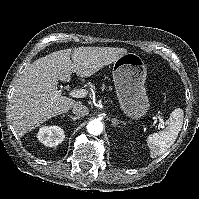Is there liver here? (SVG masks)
Here are the masks:
<instances>
[{
  "label": "liver",
  "instance_id": "1",
  "mask_svg": "<svg viewBox=\"0 0 199 199\" xmlns=\"http://www.w3.org/2000/svg\"><path fill=\"white\" fill-rule=\"evenodd\" d=\"M59 50L30 64L14 86L10 117L22 137L47 120L66 113L76 104L62 96L59 81L69 82L73 73L88 78L127 53L124 48L79 47ZM72 57V60L70 59Z\"/></svg>",
  "mask_w": 199,
  "mask_h": 199
}]
</instances>
